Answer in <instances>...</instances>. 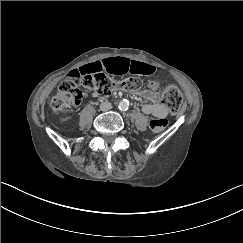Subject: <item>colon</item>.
<instances>
[{"label": "colon", "instance_id": "5ec220e1", "mask_svg": "<svg viewBox=\"0 0 243 243\" xmlns=\"http://www.w3.org/2000/svg\"><path fill=\"white\" fill-rule=\"evenodd\" d=\"M146 86L152 91L158 89V83L155 81H149ZM143 87V81L137 77L113 80L101 72H80L73 70L60 84L58 91L52 97L51 111L53 114L71 111L88 95L106 97L117 90L138 92ZM182 102L183 98L177 87L168 86L163 90L162 103L171 113L178 112L182 106ZM167 125L168 121L165 118L154 119L150 122V127L154 132L163 131Z\"/></svg>", "mask_w": 243, "mask_h": 243}]
</instances>
